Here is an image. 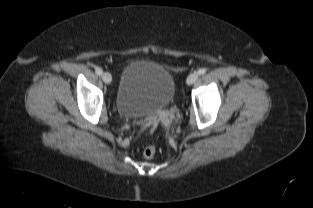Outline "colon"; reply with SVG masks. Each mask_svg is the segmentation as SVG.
<instances>
[{
	"instance_id": "colon-1",
	"label": "colon",
	"mask_w": 313,
	"mask_h": 208,
	"mask_svg": "<svg viewBox=\"0 0 313 208\" xmlns=\"http://www.w3.org/2000/svg\"><path fill=\"white\" fill-rule=\"evenodd\" d=\"M157 149L154 145H148L143 149V156L146 159H151L155 156Z\"/></svg>"
}]
</instances>
